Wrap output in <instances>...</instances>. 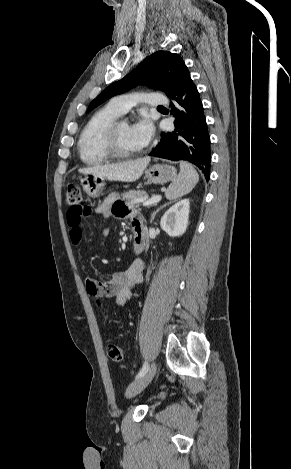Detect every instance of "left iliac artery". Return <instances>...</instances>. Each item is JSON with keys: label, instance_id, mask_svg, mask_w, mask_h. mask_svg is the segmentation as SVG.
<instances>
[{"label": "left iliac artery", "instance_id": "obj_1", "mask_svg": "<svg viewBox=\"0 0 291 469\" xmlns=\"http://www.w3.org/2000/svg\"><path fill=\"white\" fill-rule=\"evenodd\" d=\"M148 368H149L148 363L145 362L144 365H143V367L141 368V370H140L139 373L137 374L136 379L139 378V377H141V376H143V375L147 372Z\"/></svg>", "mask_w": 291, "mask_h": 469}]
</instances>
